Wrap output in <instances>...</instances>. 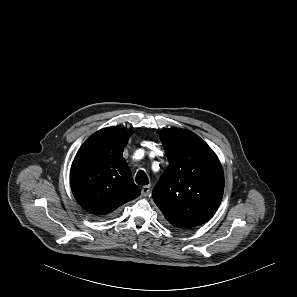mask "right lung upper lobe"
Returning a JSON list of instances; mask_svg holds the SVG:
<instances>
[{
    "instance_id": "1",
    "label": "right lung upper lobe",
    "mask_w": 297,
    "mask_h": 297,
    "mask_svg": "<svg viewBox=\"0 0 297 297\" xmlns=\"http://www.w3.org/2000/svg\"><path fill=\"white\" fill-rule=\"evenodd\" d=\"M131 135L129 129L108 127L90 136L77 152L71 189L88 212L106 215L140 195L122 155Z\"/></svg>"
}]
</instances>
